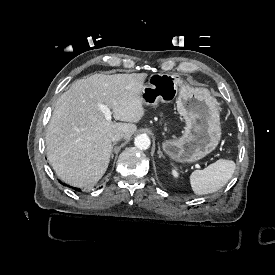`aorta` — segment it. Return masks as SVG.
Instances as JSON below:
<instances>
[{
  "mask_svg": "<svg viewBox=\"0 0 275 275\" xmlns=\"http://www.w3.org/2000/svg\"><path fill=\"white\" fill-rule=\"evenodd\" d=\"M134 144L138 149L146 150L150 147L151 141L146 134H140L135 137Z\"/></svg>",
  "mask_w": 275,
  "mask_h": 275,
  "instance_id": "obj_1",
  "label": "aorta"
}]
</instances>
